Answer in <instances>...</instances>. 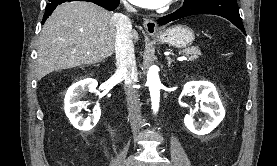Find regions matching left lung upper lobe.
Listing matches in <instances>:
<instances>
[{
	"mask_svg": "<svg viewBox=\"0 0 277 166\" xmlns=\"http://www.w3.org/2000/svg\"><path fill=\"white\" fill-rule=\"evenodd\" d=\"M194 1H196V0H185L183 5L190 4V3L194 2Z\"/></svg>",
	"mask_w": 277,
	"mask_h": 166,
	"instance_id": "5c2ea615",
	"label": "left lung upper lobe"
}]
</instances>
